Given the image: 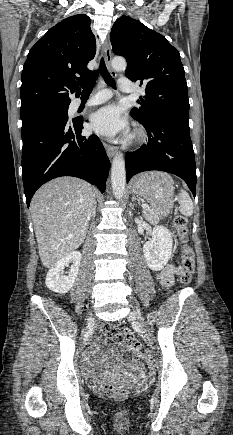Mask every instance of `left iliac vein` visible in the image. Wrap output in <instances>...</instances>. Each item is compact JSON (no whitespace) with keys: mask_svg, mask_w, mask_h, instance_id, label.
Wrapping results in <instances>:
<instances>
[{"mask_svg":"<svg viewBox=\"0 0 233 435\" xmlns=\"http://www.w3.org/2000/svg\"><path fill=\"white\" fill-rule=\"evenodd\" d=\"M130 319H131L132 321H136V320H138V321H140V322H143V319H142L141 315H140L139 313H137L136 311H133V312L130 314Z\"/></svg>","mask_w":233,"mask_h":435,"instance_id":"4c4485c4","label":"left iliac vein"}]
</instances>
